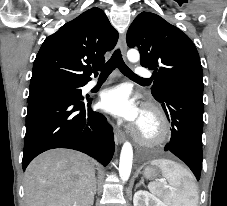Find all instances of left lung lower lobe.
Returning a JSON list of instances; mask_svg holds the SVG:
<instances>
[{
	"mask_svg": "<svg viewBox=\"0 0 227 206\" xmlns=\"http://www.w3.org/2000/svg\"><path fill=\"white\" fill-rule=\"evenodd\" d=\"M171 123V139L164 148L184 161L197 180L202 167L203 99L193 93H171L159 101Z\"/></svg>",
	"mask_w": 227,
	"mask_h": 206,
	"instance_id": "1",
	"label": "left lung lower lobe"
}]
</instances>
